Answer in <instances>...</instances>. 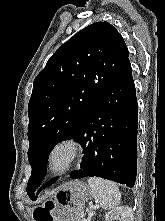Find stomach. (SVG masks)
<instances>
[{
  "label": "stomach",
  "mask_w": 165,
  "mask_h": 221,
  "mask_svg": "<svg viewBox=\"0 0 165 221\" xmlns=\"http://www.w3.org/2000/svg\"><path fill=\"white\" fill-rule=\"evenodd\" d=\"M91 198L92 189L88 184L80 180L70 181L59 188L52 200H40L32 217H50L36 218V221H78L76 217Z\"/></svg>",
  "instance_id": "1"
}]
</instances>
